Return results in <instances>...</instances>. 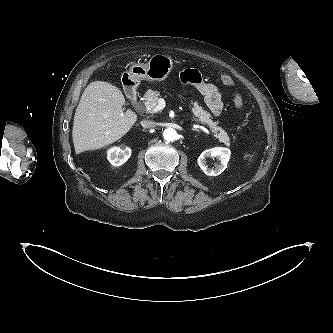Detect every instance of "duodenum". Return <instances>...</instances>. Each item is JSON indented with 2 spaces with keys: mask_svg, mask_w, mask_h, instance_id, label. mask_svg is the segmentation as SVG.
<instances>
[{
  "mask_svg": "<svg viewBox=\"0 0 333 333\" xmlns=\"http://www.w3.org/2000/svg\"><path fill=\"white\" fill-rule=\"evenodd\" d=\"M124 87H125V92L128 96V98L134 102L137 103V91H136V86L135 83L132 79L127 78L124 81Z\"/></svg>",
  "mask_w": 333,
  "mask_h": 333,
  "instance_id": "duodenum-1",
  "label": "duodenum"
}]
</instances>
